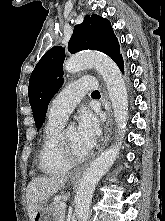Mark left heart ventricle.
<instances>
[{"label": "left heart ventricle", "instance_id": "obj_1", "mask_svg": "<svg viewBox=\"0 0 165 221\" xmlns=\"http://www.w3.org/2000/svg\"><path fill=\"white\" fill-rule=\"evenodd\" d=\"M65 133L72 150L77 155H83L88 151V149L80 142L75 128L68 129Z\"/></svg>", "mask_w": 165, "mask_h": 221}]
</instances>
